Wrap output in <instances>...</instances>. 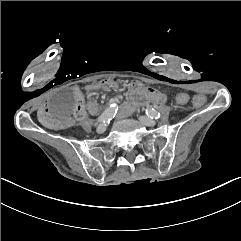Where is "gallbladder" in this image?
Masks as SVG:
<instances>
[{
	"mask_svg": "<svg viewBox=\"0 0 241 241\" xmlns=\"http://www.w3.org/2000/svg\"><path fill=\"white\" fill-rule=\"evenodd\" d=\"M79 101V93L75 87L68 86L61 89L49 101L48 107L57 118H70L75 111Z\"/></svg>",
	"mask_w": 241,
	"mask_h": 241,
	"instance_id": "gallbladder-1",
	"label": "gallbladder"
}]
</instances>
